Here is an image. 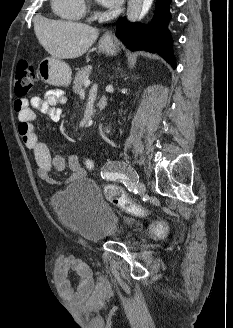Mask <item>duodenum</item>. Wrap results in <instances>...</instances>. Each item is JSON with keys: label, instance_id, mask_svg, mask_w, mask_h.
Wrapping results in <instances>:
<instances>
[{"label": "duodenum", "instance_id": "obj_1", "mask_svg": "<svg viewBox=\"0 0 233 328\" xmlns=\"http://www.w3.org/2000/svg\"><path fill=\"white\" fill-rule=\"evenodd\" d=\"M106 106H107V98L105 96L100 97L97 101L98 109L103 110L106 108Z\"/></svg>", "mask_w": 233, "mask_h": 328}]
</instances>
